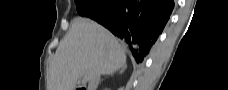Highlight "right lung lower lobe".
<instances>
[{
	"label": "right lung lower lobe",
	"mask_w": 228,
	"mask_h": 90,
	"mask_svg": "<svg viewBox=\"0 0 228 90\" xmlns=\"http://www.w3.org/2000/svg\"><path fill=\"white\" fill-rule=\"evenodd\" d=\"M172 0H106L101 13L91 19L109 29L129 47L141 63L166 25Z\"/></svg>",
	"instance_id": "1"
}]
</instances>
